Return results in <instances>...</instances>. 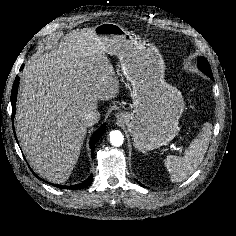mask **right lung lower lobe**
Masks as SVG:
<instances>
[{
    "mask_svg": "<svg viewBox=\"0 0 236 236\" xmlns=\"http://www.w3.org/2000/svg\"><path fill=\"white\" fill-rule=\"evenodd\" d=\"M23 69V65L21 66L20 70ZM18 84H19V77L17 76L13 87H12V91H11V103H12V123L14 120V116H15V109H16V95H17V90H18ZM106 131V126L105 124H103L93 135V137L91 138L90 141V147H91V155L92 157L94 156V146L95 143L98 141V139L101 137V135ZM17 140V139H16ZM93 178L92 176H90L87 180H85L84 182L77 184V185H73V186H62V185H55L56 187L59 188H66V189H73V190H77V189H82L85 188L87 186H89L92 182Z\"/></svg>",
    "mask_w": 236,
    "mask_h": 236,
    "instance_id": "98d812e1",
    "label": "right lung lower lobe"
}]
</instances>
